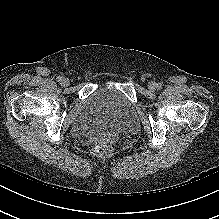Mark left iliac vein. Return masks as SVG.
Instances as JSON below:
<instances>
[{
    "mask_svg": "<svg viewBox=\"0 0 219 219\" xmlns=\"http://www.w3.org/2000/svg\"><path fill=\"white\" fill-rule=\"evenodd\" d=\"M156 88H157V84L155 82L151 81V82L148 83V89L150 91H155Z\"/></svg>",
    "mask_w": 219,
    "mask_h": 219,
    "instance_id": "obj_1",
    "label": "left iliac vein"
}]
</instances>
